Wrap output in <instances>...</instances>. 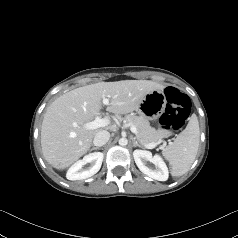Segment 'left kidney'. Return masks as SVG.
Here are the masks:
<instances>
[{"instance_id":"5707ae66","label":"left kidney","mask_w":238,"mask_h":238,"mask_svg":"<svg viewBox=\"0 0 238 238\" xmlns=\"http://www.w3.org/2000/svg\"><path fill=\"white\" fill-rule=\"evenodd\" d=\"M133 156L137 167L145 175L158 181H166L168 179V168L159 155L152 156L149 151L134 150Z\"/></svg>"}]
</instances>
